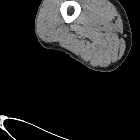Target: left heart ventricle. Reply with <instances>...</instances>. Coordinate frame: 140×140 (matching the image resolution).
Returning <instances> with one entry per match:
<instances>
[{"label": "left heart ventricle", "instance_id": "obj_1", "mask_svg": "<svg viewBox=\"0 0 140 140\" xmlns=\"http://www.w3.org/2000/svg\"><path fill=\"white\" fill-rule=\"evenodd\" d=\"M103 49H104L105 54L109 57L121 53V50H122L121 45L119 44L107 45Z\"/></svg>", "mask_w": 140, "mask_h": 140}]
</instances>
